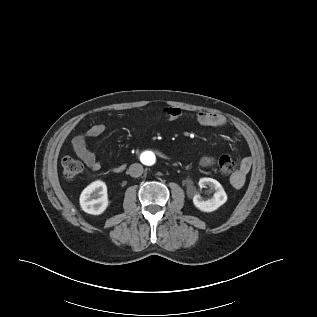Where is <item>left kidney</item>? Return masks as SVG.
Listing matches in <instances>:
<instances>
[{
	"mask_svg": "<svg viewBox=\"0 0 317 317\" xmlns=\"http://www.w3.org/2000/svg\"><path fill=\"white\" fill-rule=\"evenodd\" d=\"M198 185L200 189L209 187L210 190L214 191V194L210 199H204L199 193L194 195L193 204L199 210L203 212H212L217 210L227 201L226 192L217 180L204 177L199 180Z\"/></svg>",
	"mask_w": 317,
	"mask_h": 317,
	"instance_id": "left-kidney-1",
	"label": "left kidney"
}]
</instances>
